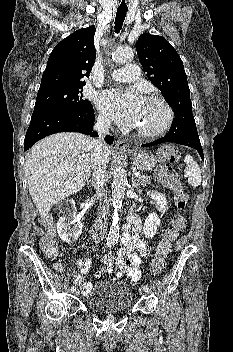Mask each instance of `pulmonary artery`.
Here are the masks:
<instances>
[{
	"mask_svg": "<svg viewBox=\"0 0 233 352\" xmlns=\"http://www.w3.org/2000/svg\"><path fill=\"white\" fill-rule=\"evenodd\" d=\"M111 79L120 82H133L139 79V67L134 64H128L123 68L113 71L110 75Z\"/></svg>",
	"mask_w": 233,
	"mask_h": 352,
	"instance_id": "pulmonary-artery-1",
	"label": "pulmonary artery"
}]
</instances>
